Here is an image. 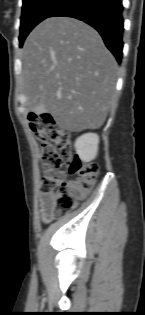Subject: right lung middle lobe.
Wrapping results in <instances>:
<instances>
[{
	"mask_svg": "<svg viewBox=\"0 0 145 315\" xmlns=\"http://www.w3.org/2000/svg\"><path fill=\"white\" fill-rule=\"evenodd\" d=\"M65 0H23L19 46L30 31L41 21L48 18Z\"/></svg>",
	"mask_w": 145,
	"mask_h": 315,
	"instance_id": "1",
	"label": "right lung middle lobe"
}]
</instances>
